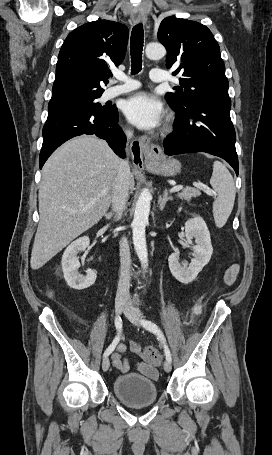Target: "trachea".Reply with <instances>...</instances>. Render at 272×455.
I'll return each instance as SVG.
<instances>
[{
    "instance_id": "trachea-1",
    "label": "trachea",
    "mask_w": 272,
    "mask_h": 455,
    "mask_svg": "<svg viewBox=\"0 0 272 455\" xmlns=\"http://www.w3.org/2000/svg\"><path fill=\"white\" fill-rule=\"evenodd\" d=\"M144 43V30L142 23L132 29L130 39L131 73L137 74L142 70V51Z\"/></svg>"
}]
</instances>
